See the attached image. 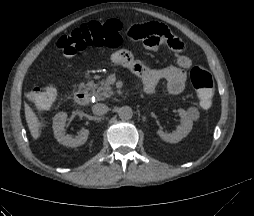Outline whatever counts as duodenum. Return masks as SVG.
Instances as JSON below:
<instances>
[{
    "label": "duodenum",
    "mask_w": 254,
    "mask_h": 216,
    "mask_svg": "<svg viewBox=\"0 0 254 216\" xmlns=\"http://www.w3.org/2000/svg\"><path fill=\"white\" fill-rule=\"evenodd\" d=\"M74 99L79 105H87L89 103V94L85 90H78L74 95Z\"/></svg>",
    "instance_id": "410a0bca"
}]
</instances>
